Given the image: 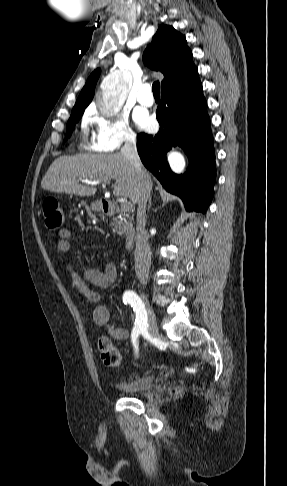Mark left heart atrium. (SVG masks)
Returning <instances> with one entry per match:
<instances>
[{
  "label": "left heart atrium",
  "mask_w": 287,
  "mask_h": 486,
  "mask_svg": "<svg viewBox=\"0 0 287 486\" xmlns=\"http://www.w3.org/2000/svg\"><path fill=\"white\" fill-rule=\"evenodd\" d=\"M138 123L143 126V127H146L147 125H149L150 121L148 118H141Z\"/></svg>",
  "instance_id": "39dd6f15"
}]
</instances>
